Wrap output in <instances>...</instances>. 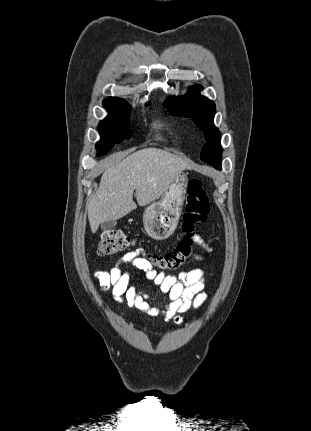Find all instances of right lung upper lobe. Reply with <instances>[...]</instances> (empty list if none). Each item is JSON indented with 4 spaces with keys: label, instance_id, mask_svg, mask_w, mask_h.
I'll return each mask as SVG.
<instances>
[{
    "label": "right lung upper lobe",
    "instance_id": "obj_1",
    "mask_svg": "<svg viewBox=\"0 0 311 431\" xmlns=\"http://www.w3.org/2000/svg\"><path fill=\"white\" fill-rule=\"evenodd\" d=\"M109 99H120V98H116V97H110Z\"/></svg>",
    "mask_w": 311,
    "mask_h": 431
}]
</instances>
